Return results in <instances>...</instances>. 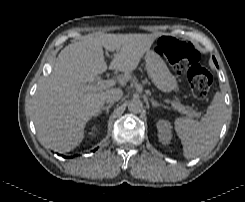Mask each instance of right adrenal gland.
I'll list each match as a JSON object with an SVG mask.
<instances>
[{
  "label": "right adrenal gland",
  "mask_w": 245,
  "mask_h": 202,
  "mask_svg": "<svg viewBox=\"0 0 245 202\" xmlns=\"http://www.w3.org/2000/svg\"><path fill=\"white\" fill-rule=\"evenodd\" d=\"M112 106H113V103H109L107 106L102 107L97 116H99L103 111H105L106 114H108L109 113V109Z\"/></svg>",
  "instance_id": "right-adrenal-gland-1"
}]
</instances>
